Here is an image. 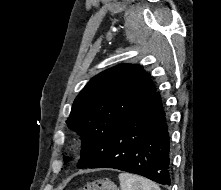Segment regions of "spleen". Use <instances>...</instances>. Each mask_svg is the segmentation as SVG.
<instances>
[{
  "instance_id": "spleen-1",
  "label": "spleen",
  "mask_w": 221,
  "mask_h": 190,
  "mask_svg": "<svg viewBox=\"0 0 221 190\" xmlns=\"http://www.w3.org/2000/svg\"><path fill=\"white\" fill-rule=\"evenodd\" d=\"M119 181L121 190H161L156 183L130 173H121Z\"/></svg>"
}]
</instances>
